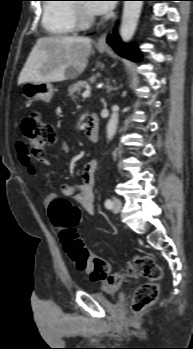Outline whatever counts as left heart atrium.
Wrapping results in <instances>:
<instances>
[{
	"label": "left heart atrium",
	"mask_w": 193,
	"mask_h": 349,
	"mask_svg": "<svg viewBox=\"0 0 193 349\" xmlns=\"http://www.w3.org/2000/svg\"><path fill=\"white\" fill-rule=\"evenodd\" d=\"M88 10L96 15L109 12L113 8V2L110 1H91L87 4Z\"/></svg>",
	"instance_id": "39dd6f15"
}]
</instances>
